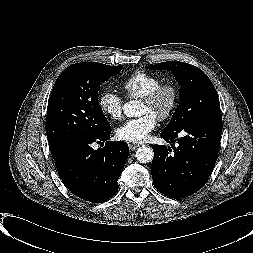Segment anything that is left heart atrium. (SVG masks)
Here are the masks:
<instances>
[{
    "mask_svg": "<svg viewBox=\"0 0 253 253\" xmlns=\"http://www.w3.org/2000/svg\"><path fill=\"white\" fill-rule=\"evenodd\" d=\"M156 126V118L150 114H144L139 118L124 122L116 129V136L123 141L141 143L149 138Z\"/></svg>",
    "mask_w": 253,
    "mask_h": 253,
    "instance_id": "left-heart-atrium-1",
    "label": "left heart atrium"
}]
</instances>
